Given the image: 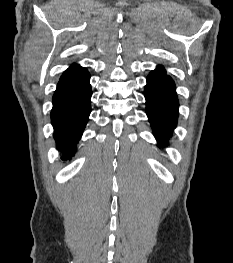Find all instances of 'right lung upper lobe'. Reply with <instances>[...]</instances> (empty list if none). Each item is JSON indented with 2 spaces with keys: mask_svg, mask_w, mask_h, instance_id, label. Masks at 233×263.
Segmentation results:
<instances>
[{
  "mask_svg": "<svg viewBox=\"0 0 233 263\" xmlns=\"http://www.w3.org/2000/svg\"><path fill=\"white\" fill-rule=\"evenodd\" d=\"M71 67H80V66H78V65H73V66H71Z\"/></svg>",
  "mask_w": 233,
  "mask_h": 263,
  "instance_id": "cb5924a9",
  "label": "right lung upper lobe"
}]
</instances>
